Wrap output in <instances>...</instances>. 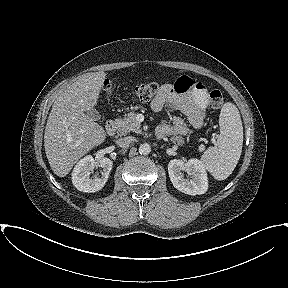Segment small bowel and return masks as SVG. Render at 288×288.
I'll list each match as a JSON object with an SVG mask.
<instances>
[{"mask_svg": "<svg viewBox=\"0 0 288 288\" xmlns=\"http://www.w3.org/2000/svg\"><path fill=\"white\" fill-rule=\"evenodd\" d=\"M208 105V92L205 86L188 76H182L174 84H164L159 94L151 102V108L159 112L165 108L183 113L195 128L202 127ZM157 132L164 135H187L189 128L185 121L175 116L173 123L162 124Z\"/></svg>", "mask_w": 288, "mask_h": 288, "instance_id": "c3829d8e", "label": "small bowel"}]
</instances>
